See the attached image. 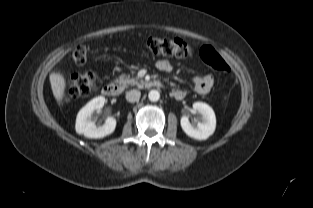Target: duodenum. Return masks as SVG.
Listing matches in <instances>:
<instances>
[{
    "instance_id": "1",
    "label": "duodenum",
    "mask_w": 313,
    "mask_h": 208,
    "mask_svg": "<svg viewBox=\"0 0 313 208\" xmlns=\"http://www.w3.org/2000/svg\"><path fill=\"white\" fill-rule=\"evenodd\" d=\"M138 87L141 89L161 88L162 83L160 81L140 80ZM120 92V85L114 82L107 83L102 87V93L108 97H116Z\"/></svg>"
}]
</instances>
